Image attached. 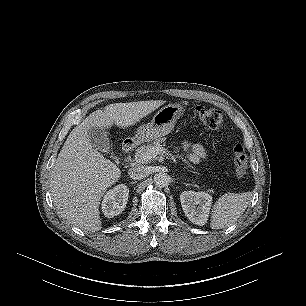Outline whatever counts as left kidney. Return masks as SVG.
I'll list each match as a JSON object with an SVG mask.
<instances>
[{
	"label": "left kidney",
	"instance_id": "obj_1",
	"mask_svg": "<svg viewBox=\"0 0 306 306\" xmlns=\"http://www.w3.org/2000/svg\"><path fill=\"white\" fill-rule=\"evenodd\" d=\"M182 209L188 219L203 226L207 223L212 196L206 192L184 191L180 194Z\"/></svg>",
	"mask_w": 306,
	"mask_h": 306
}]
</instances>
